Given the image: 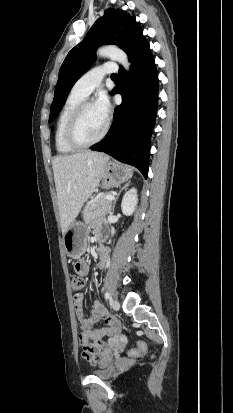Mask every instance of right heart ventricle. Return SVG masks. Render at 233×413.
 I'll return each instance as SVG.
<instances>
[{
	"label": "right heart ventricle",
	"instance_id": "right-heart-ventricle-1",
	"mask_svg": "<svg viewBox=\"0 0 233 413\" xmlns=\"http://www.w3.org/2000/svg\"><path fill=\"white\" fill-rule=\"evenodd\" d=\"M85 96L75 92L72 90L67 98L65 99L63 106L60 110L57 123H56V129H55V145L56 149L60 153H71L75 149L71 147L70 145L67 144L65 141L64 137V131L66 124L75 110V108L83 101L85 100Z\"/></svg>",
	"mask_w": 233,
	"mask_h": 413
}]
</instances>
